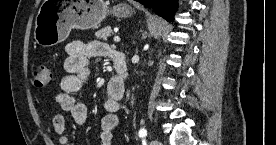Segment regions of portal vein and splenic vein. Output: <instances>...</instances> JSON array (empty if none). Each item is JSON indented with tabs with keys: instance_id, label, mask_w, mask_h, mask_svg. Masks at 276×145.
<instances>
[{
	"instance_id": "1",
	"label": "portal vein and splenic vein",
	"mask_w": 276,
	"mask_h": 145,
	"mask_svg": "<svg viewBox=\"0 0 276 145\" xmlns=\"http://www.w3.org/2000/svg\"><path fill=\"white\" fill-rule=\"evenodd\" d=\"M114 42L119 43L120 42V37L119 36H115L114 37Z\"/></svg>"
}]
</instances>
